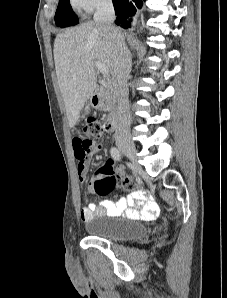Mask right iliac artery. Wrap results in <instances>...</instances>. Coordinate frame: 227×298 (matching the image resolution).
Returning a JSON list of instances; mask_svg holds the SVG:
<instances>
[{"instance_id":"82829eb1","label":"right iliac artery","mask_w":227,"mask_h":298,"mask_svg":"<svg viewBox=\"0 0 227 298\" xmlns=\"http://www.w3.org/2000/svg\"><path fill=\"white\" fill-rule=\"evenodd\" d=\"M110 153L115 160H121V154L116 147H112Z\"/></svg>"}]
</instances>
